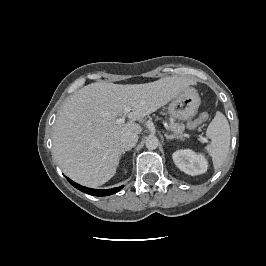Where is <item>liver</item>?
Returning a JSON list of instances; mask_svg holds the SVG:
<instances>
[{
    "mask_svg": "<svg viewBox=\"0 0 266 266\" xmlns=\"http://www.w3.org/2000/svg\"><path fill=\"white\" fill-rule=\"evenodd\" d=\"M191 79L165 77L145 84L91 83L71 95L62 106L53 131V154L72 180L98 187L116 173L125 133L142 132L135 123L180 94ZM126 107L129 122L116 124Z\"/></svg>",
    "mask_w": 266,
    "mask_h": 266,
    "instance_id": "1",
    "label": "liver"
}]
</instances>
